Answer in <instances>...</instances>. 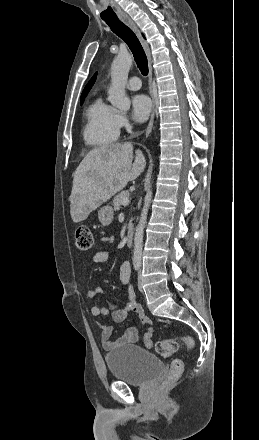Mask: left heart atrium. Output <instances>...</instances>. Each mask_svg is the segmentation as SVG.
<instances>
[{
    "label": "left heart atrium",
    "mask_w": 259,
    "mask_h": 440,
    "mask_svg": "<svg viewBox=\"0 0 259 440\" xmlns=\"http://www.w3.org/2000/svg\"><path fill=\"white\" fill-rule=\"evenodd\" d=\"M132 114L136 121H145L152 109V103L145 94H137L131 100Z\"/></svg>",
    "instance_id": "1"
}]
</instances>
